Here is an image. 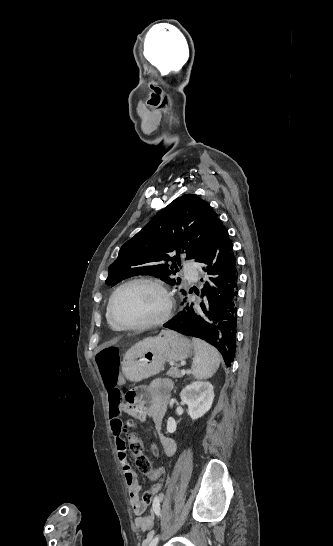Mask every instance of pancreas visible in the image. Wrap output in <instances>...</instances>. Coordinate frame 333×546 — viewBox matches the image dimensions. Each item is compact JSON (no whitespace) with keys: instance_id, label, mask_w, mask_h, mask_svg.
I'll use <instances>...</instances> for the list:
<instances>
[{"instance_id":"cf45deb5","label":"pancreas","mask_w":333,"mask_h":546,"mask_svg":"<svg viewBox=\"0 0 333 546\" xmlns=\"http://www.w3.org/2000/svg\"><path fill=\"white\" fill-rule=\"evenodd\" d=\"M167 375L171 376L172 378H181L182 377L181 373L179 372L178 366L170 367V369L167 371Z\"/></svg>"}]
</instances>
